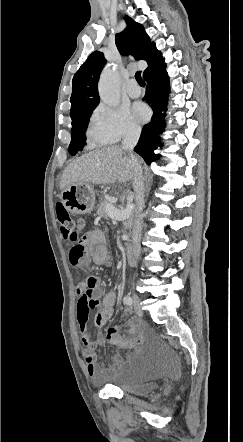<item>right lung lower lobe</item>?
<instances>
[{
	"mask_svg": "<svg viewBox=\"0 0 243 442\" xmlns=\"http://www.w3.org/2000/svg\"><path fill=\"white\" fill-rule=\"evenodd\" d=\"M166 64L162 58L146 74L147 81L146 94L144 100L153 110L151 122L144 125L138 144L134 148L135 152L143 157L147 164L159 158L154 150L161 145L160 134L164 131L166 116V102L170 91L169 78L166 72Z\"/></svg>",
	"mask_w": 243,
	"mask_h": 442,
	"instance_id": "1",
	"label": "right lung lower lobe"
}]
</instances>
